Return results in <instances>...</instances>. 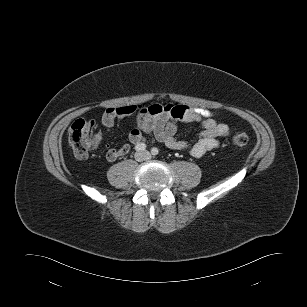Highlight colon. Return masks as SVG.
<instances>
[{"label": "colon", "mask_w": 307, "mask_h": 307, "mask_svg": "<svg viewBox=\"0 0 307 307\" xmlns=\"http://www.w3.org/2000/svg\"><path fill=\"white\" fill-rule=\"evenodd\" d=\"M95 122L92 120L79 119L69 129V143L74 154L78 158H86L95 147ZM249 142V136L244 132H238L232 137V144L243 147Z\"/></svg>", "instance_id": "1"}]
</instances>
